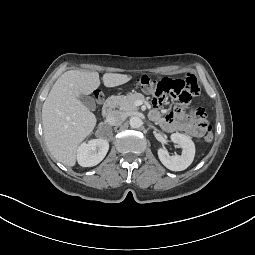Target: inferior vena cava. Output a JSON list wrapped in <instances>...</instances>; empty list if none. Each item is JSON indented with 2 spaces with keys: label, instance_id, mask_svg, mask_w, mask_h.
Segmentation results:
<instances>
[{
  "label": "inferior vena cava",
  "instance_id": "inferior-vena-cava-1",
  "mask_svg": "<svg viewBox=\"0 0 255 255\" xmlns=\"http://www.w3.org/2000/svg\"><path fill=\"white\" fill-rule=\"evenodd\" d=\"M125 118L126 117L123 112L113 111L106 117V121L108 124H110L112 126H117V125L122 124L124 122Z\"/></svg>",
  "mask_w": 255,
  "mask_h": 255
}]
</instances>
